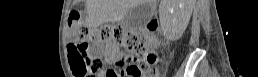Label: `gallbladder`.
Listing matches in <instances>:
<instances>
[{
    "instance_id": "obj_1",
    "label": "gallbladder",
    "mask_w": 258,
    "mask_h": 77,
    "mask_svg": "<svg viewBox=\"0 0 258 77\" xmlns=\"http://www.w3.org/2000/svg\"><path fill=\"white\" fill-rule=\"evenodd\" d=\"M153 8L151 4H140L132 8L124 18V23L130 30L143 27L152 17Z\"/></svg>"
}]
</instances>
